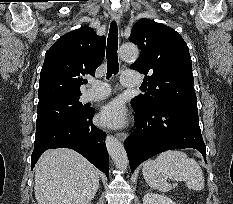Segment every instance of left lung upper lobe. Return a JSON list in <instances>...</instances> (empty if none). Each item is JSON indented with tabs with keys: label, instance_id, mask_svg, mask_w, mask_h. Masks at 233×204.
I'll use <instances>...</instances> for the list:
<instances>
[{
	"label": "left lung upper lobe",
	"instance_id": "1",
	"mask_svg": "<svg viewBox=\"0 0 233 204\" xmlns=\"http://www.w3.org/2000/svg\"><path fill=\"white\" fill-rule=\"evenodd\" d=\"M129 40L141 50L130 68L145 75V94L133 98V106L163 101L197 105L188 46L174 29L144 18L133 26Z\"/></svg>",
	"mask_w": 233,
	"mask_h": 204
}]
</instances>
